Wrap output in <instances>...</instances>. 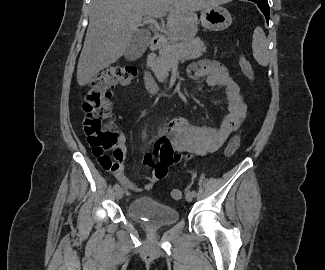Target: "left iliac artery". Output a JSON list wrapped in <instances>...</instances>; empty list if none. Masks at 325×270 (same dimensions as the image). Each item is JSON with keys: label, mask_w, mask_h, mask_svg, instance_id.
<instances>
[{"label": "left iliac artery", "mask_w": 325, "mask_h": 270, "mask_svg": "<svg viewBox=\"0 0 325 270\" xmlns=\"http://www.w3.org/2000/svg\"><path fill=\"white\" fill-rule=\"evenodd\" d=\"M191 192H192L193 196H196V191L195 190H193Z\"/></svg>", "instance_id": "1"}]
</instances>
